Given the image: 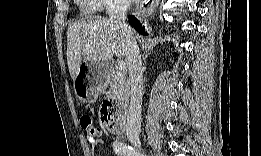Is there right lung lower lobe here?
<instances>
[{
  "mask_svg": "<svg viewBox=\"0 0 261 156\" xmlns=\"http://www.w3.org/2000/svg\"><path fill=\"white\" fill-rule=\"evenodd\" d=\"M129 23L134 29L137 30L138 33H140L142 35H147L144 27H142V24L137 20V18H135L134 16H130Z\"/></svg>",
  "mask_w": 261,
  "mask_h": 156,
  "instance_id": "right-lung-lower-lobe-1",
  "label": "right lung lower lobe"
}]
</instances>
